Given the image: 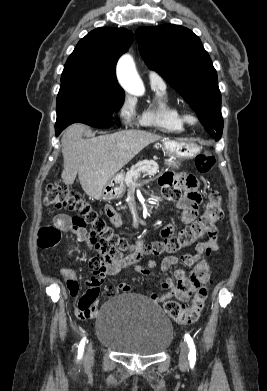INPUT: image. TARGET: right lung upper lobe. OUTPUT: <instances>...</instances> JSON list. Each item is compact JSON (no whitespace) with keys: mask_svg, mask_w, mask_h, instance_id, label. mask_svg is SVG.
<instances>
[{"mask_svg":"<svg viewBox=\"0 0 267 391\" xmlns=\"http://www.w3.org/2000/svg\"><path fill=\"white\" fill-rule=\"evenodd\" d=\"M132 41V32L124 28L102 27L91 31L78 42L67 59L61 79L88 76L120 87L116 63Z\"/></svg>","mask_w":267,"mask_h":391,"instance_id":"obj_1","label":"right lung upper lobe"}]
</instances>
